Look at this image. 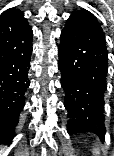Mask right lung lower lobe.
<instances>
[{
    "mask_svg": "<svg viewBox=\"0 0 114 156\" xmlns=\"http://www.w3.org/2000/svg\"><path fill=\"white\" fill-rule=\"evenodd\" d=\"M32 37L21 11L13 9L0 16V140L13 139L25 104Z\"/></svg>",
    "mask_w": 114,
    "mask_h": 156,
    "instance_id": "right-lung-lower-lobe-1",
    "label": "right lung lower lobe"
}]
</instances>
